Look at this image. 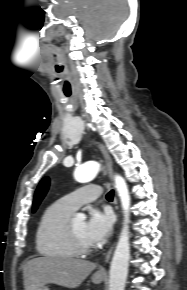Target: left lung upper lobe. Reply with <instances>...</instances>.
Wrapping results in <instances>:
<instances>
[{
    "label": "left lung upper lobe",
    "mask_w": 187,
    "mask_h": 290,
    "mask_svg": "<svg viewBox=\"0 0 187 290\" xmlns=\"http://www.w3.org/2000/svg\"><path fill=\"white\" fill-rule=\"evenodd\" d=\"M49 187V178L45 177L39 183L37 190L35 192L34 201H33V211H35L40 204L41 200L44 198Z\"/></svg>",
    "instance_id": "5c2ea615"
}]
</instances>
